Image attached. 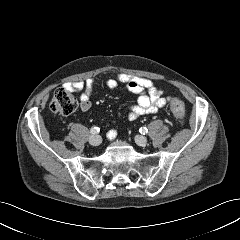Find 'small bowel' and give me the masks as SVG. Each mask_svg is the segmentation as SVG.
Instances as JSON below:
<instances>
[{"instance_id": "1", "label": "small bowel", "mask_w": 240, "mask_h": 240, "mask_svg": "<svg viewBox=\"0 0 240 240\" xmlns=\"http://www.w3.org/2000/svg\"><path fill=\"white\" fill-rule=\"evenodd\" d=\"M106 84L111 89H117L122 84L128 91L138 95L136 104L128 108L127 118L130 121H134L142 115L155 113L159 108L166 105L169 99L150 79L144 77L121 73L115 78L107 79ZM66 87L70 91L81 92V110L88 111L91 107L90 98L96 87V80L89 78L85 81L68 83ZM116 134L115 129L110 130L108 133L109 139H114Z\"/></svg>"}]
</instances>
